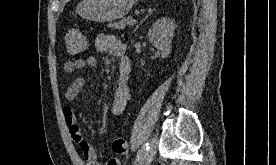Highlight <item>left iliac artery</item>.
I'll list each match as a JSON object with an SVG mask.
<instances>
[{
    "mask_svg": "<svg viewBox=\"0 0 276 165\" xmlns=\"http://www.w3.org/2000/svg\"><path fill=\"white\" fill-rule=\"evenodd\" d=\"M148 147H149V143L143 144V146L137 153V156L134 162L135 165H138V163L143 159L145 152L148 150Z\"/></svg>",
    "mask_w": 276,
    "mask_h": 165,
    "instance_id": "44dca946",
    "label": "left iliac artery"
}]
</instances>
